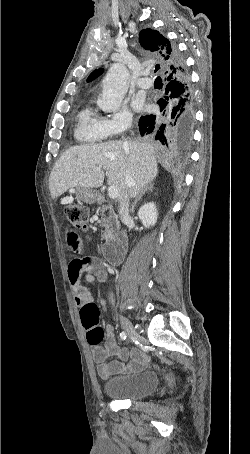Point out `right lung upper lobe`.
Segmentation results:
<instances>
[{
  "instance_id": "right-lung-upper-lobe-1",
  "label": "right lung upper lobe",
  "mask_w": 250,
  "mask_h": 454,
  "mask_svg": "<svg viewBox=\"0 0 250 454\" xmlns=\"http://www.w3.org/2000/svg\"><path fill=\"white\" fill-rule=\"evenodd\" d=\"M140 45L147 50L151 56L160 62L157 64V70H160L164 75L172 72L174 66L171 65L170 41L166 39L157 30L144 29L139 33ZM103 69L94 70L88 77L87 81L90 82L96 79L103 73Z\"/></svg>"
}]
</instances>
